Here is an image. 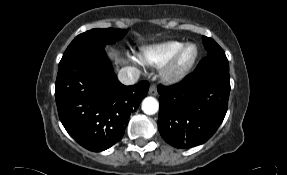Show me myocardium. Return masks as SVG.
<instances>
[{"label":"myocardium","instance_id":"1","mask_svg":"<svg viewBox=\"0 0 287 175\" xmlns=\"http://www.w3.org/2000/svg\"><path fill=\"white\" fill-rule=\"evenodd\" d=\"M189 48H193V54L190 60L182 64L181 56ZM199 57V48L195 43L183 44L163 69V77L169 82H178L183 80L193 69Z\"/></svg>","mask_w":287,"mask_h":175}]
</instances>
